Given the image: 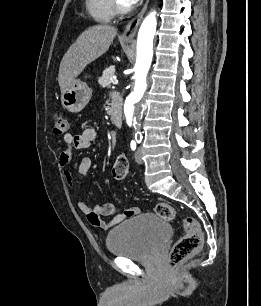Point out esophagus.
Instances as JSON below:
<instances>
[{"label": "esophagus", "instance_id": "34e87169", "mask_svg": "<svg viewBox=\"0 0 261 306\" xmlns=\"http://www.w3.org/2000/svg\"><path fill=\"white\" fill-rule=\"evenodd\" d=\"M149 0H146L142 10L138 13L136 17H134L125 27L123 33L121 34V39L126 41H131L134 39L137 28L143 18L144 13L147 10Z\"/></svg>", "mask_w": 261, "mask_h": 306}]
</instances>
